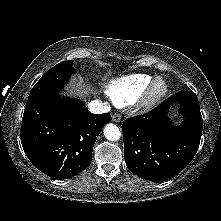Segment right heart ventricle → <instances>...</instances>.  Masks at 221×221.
Listing matches in <instances>:
<instances>
[{"label": "right heart ventricle", "instance_id": "right-heart-ventricle-1", "mask_svg": "<svg viewBox=\"0 0 221 221\" xmlns=\"http://www.w3.org/2000/svg\"><path fill=\"white\" fill-rule=\"evenodd\" d=\"M152 78L146 73L118 77L107 84L105 92L117 106H125L141 97Z\"/></svg>", "mask_w": 221, "mask_h": 221}]
</instances>
